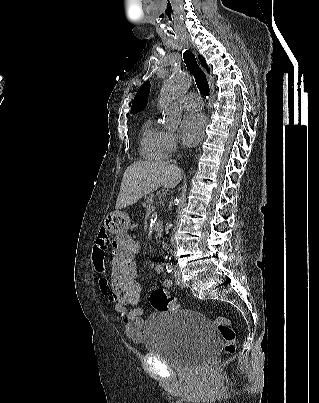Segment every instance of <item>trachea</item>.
Returning a JSON list of instances; mask_svg holds the SVG:
<instances>
[{
    "label": "trachea",
    "instance_id": "trachea-1",
    "mask_svg": "<svg viewBox=\"0 0 319 403\" xmlns=\"http://www.w3.org/2000/svg\"><path fill=\"white\" fill-rule=\"evenodd\" d=\"M187 69L194 76L200 93L207 97L210 94V88L204 72L199 68L195 56L191 51H185L183 54Z\"/></svg>",
    "mask_w": 319,
    "mask_h": 403
}]
</instances>
